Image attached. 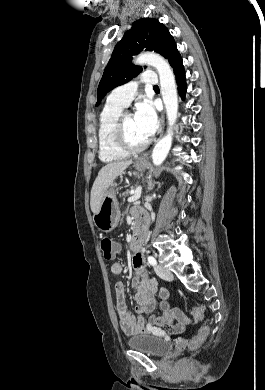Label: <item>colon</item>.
I'll return each mask as SVG.
<instances>
[{"mask_svg": "<svg viewBox=\"0 0 265 390\" xmlns=\"http://www.w3.org/2000/svg\"><path fill=\"white\" fill-rule=\"evenodd\" d=\"M100 248L105 260L110 261L115 258L116 256L115 244L110 238L107 237L103 238L100 241ZM192 314L196 320L200 321L204 317V310L201 307H194L192 309ZM209 330L210 329L207 325L202 326L199 329V332L196 335V337L192 340V345L198 346L199 344H201L207 338L209 334Z\"/></svg>", "mask_w": 265, "mask_h": 390, "instance_id": "colon-1", "label": "colon"}]
</instances>
